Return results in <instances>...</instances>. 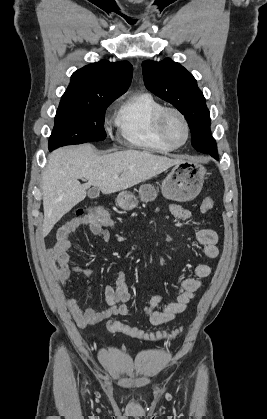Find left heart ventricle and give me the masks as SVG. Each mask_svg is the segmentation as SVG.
I'll return each instance as SVG.
<instances>
[{"instance_id": "left-heart-ventricle-1", "label": "left heart ventricle", "mask_w": 267, "mask_h": 419, "mask_svg": "<svg viewBox=\"0 0 267 419\" xmlns=\"http://www.w3.org/2000/svg\"><path fill=\"white\" fill-rule=\"evenodd\" d=\"M166 132L170 140L175 144H181L186 136L185 127L181 119L175 115H169L166 122Z\"/></svg>"}]
</instances>
